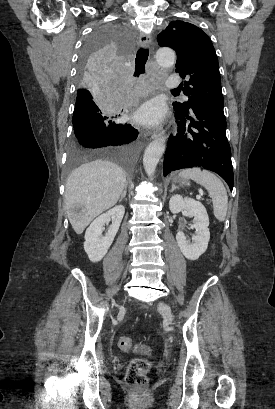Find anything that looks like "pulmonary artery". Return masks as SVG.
Instances as JSON below:
<instances>
[{
    "mask_svg": "<svg viewBox=\"0 0 275 409\" xmlns=\"http://www.w3.org/2000/svg\"><path fill=\"white\" fill-rule=\"evenodd\" d=\"M179 74L178 73H172L170 78L166 80V87L167 88H178L180 85L179 82ZM187 98V97H185Z\"/></svg>",
    "mask_w": 275,
    "mask_h": 409,
    "instance_id": "obj_1",
    "label": "pulmonary artery"
}]
</instances>
